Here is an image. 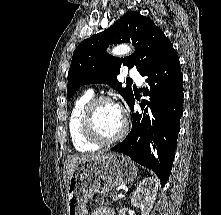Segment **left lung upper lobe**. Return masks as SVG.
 Returning <instances> with one entry per match:
<instances>
[{
    "instance_id": "obj_1",
    "label": "left lung upper lobe",
    "mask_w": 221,
    "mask_h": 215,
    "mask_svg": "<svg viewBox=\"0 0 221 215\" xmlns=\"http://www.w3.org/2000/svg\"><path fill=\"white\" fill-rule=\"evenodd\" d=\"M121 42H132L135 52L125 58L107 54L110 44ZM170 43L151 19L135 11L126 13L110 28L85 39L75 49L68 72L67 98L84 84L104 83L116 89L129 104L134 94L117 80L121 66L136 67L142 75Z\"/></svg>"
}]
</instances>
